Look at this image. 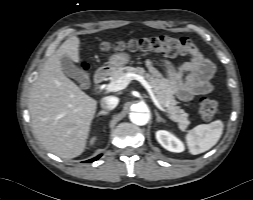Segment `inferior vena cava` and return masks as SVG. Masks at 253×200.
<instances>
[{"mask_svg": "<svg viewBox=\"0 0 253 200\" xmlns=\"http://www.w3.org/2000/svg\"><path fill=\"white\" fill-rule=\"evenodd\" d=\"M119 102V99L114 96H107L101 100V107L106 110L114 109Z\"/></svg>", "mask_w": 253, "mask_h": 200, "instance_id": "inferior-vena-cava-1", "label": "inferior vena cava"}]
</instances>
